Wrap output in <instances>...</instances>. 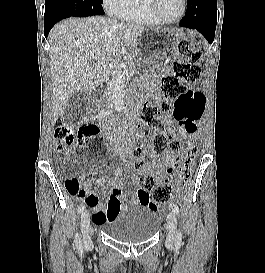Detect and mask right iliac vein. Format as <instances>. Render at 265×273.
I'll return each mask as SVG.
<instances>
[{"label":"right iliac vein","mask_w":265,"mask_h":273,"mask_svg":"<svg viewBox=\"0 0 265 273\" xmlns=\"http://www.w3.org/2000/svg\"><path fill=\"white\" fill-rule=\"evenodd\" d=\"M81 231L82 238L85 247L92 245V239L90 236V216L88 211H84L81 215Z\"/></svg>","instance_id":"right-iliac-vein-1"}]
</instances>
